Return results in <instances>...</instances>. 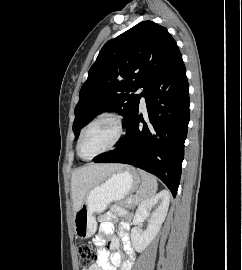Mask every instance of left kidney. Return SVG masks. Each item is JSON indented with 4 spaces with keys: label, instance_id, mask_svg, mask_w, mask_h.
Returning <instances> with one entry per match:
<instances>
[{
    "label": "left kidney",
    "instance_id": "left-kidney-1",
    "mask_svg": "<svg viewBox=\"0 0 242 270\" xmlns=\"http://www.w3.org/2000/svg\"><path fill=\"white\" fill-rule=\"evenodd\" d=\"M169 202L170 194L167 190H163L138 206L133 219L135 227L131 230L132 245L137 252H142L158 234L167 215ZM152 208L154 211L150 213ZM146 219L148 227L143 231L139 225Z\"/></svg>",
    "mask_w": 242,
    "mask_h": 270
}]
</instances>
